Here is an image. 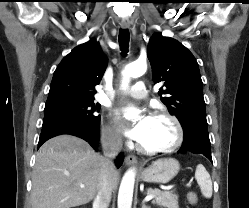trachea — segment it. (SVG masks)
<instances>
[{
	"instance_id": "trachea-1",
	"label": "trachea",
	"mask_w": 249,
	"mask_h": 208,
	"mask_svg": "<svg viewBox=\"0 0 249 208\" xmlns=\"http://www.w3.org/2000/svg\"><path fill=\"white\" fill-rule=\"evenodd\" d=\"M129 39H130V34L128 29H120L118 40L121 51L124 55H126V53L128 52Z\"/></svg>"
}]
</instances>
